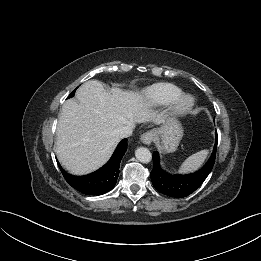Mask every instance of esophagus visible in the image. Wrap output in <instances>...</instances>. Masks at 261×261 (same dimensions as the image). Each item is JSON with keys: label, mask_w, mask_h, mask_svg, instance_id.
<instances>
[{"label": "esophagus", "mask_w": 261, "mask_h": 261, "mask_svg": "<svg viewBox=\"0 0 261 261\" xmlns=\"http://www.w3.org/2000/svg\"><path fill=\"white\" fill-rule=\"evenodd\" d=\"M154 137H155V132L151 130L142 134L140 140L143 144H150L154 140Z\"/></svg>", "instance_id": "obj_1"}]
</instances>
